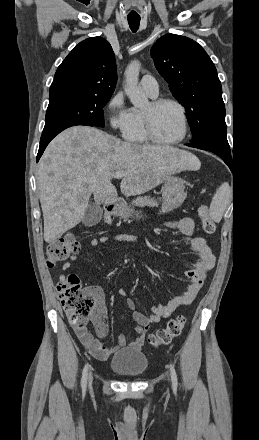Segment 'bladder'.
I'll use <instances>...</instances> for the list:
<instances>
[{
	"mask_svg": "<svg viewBox=\"0 0 259 440\" xmlns=\"http://www.w3.org/2000/svg\"><path fill=\"white\" fill-rule=\"evenodd\" d=\"M148 367L146 355L137 349H119L110 360V369L123 377H139Z\"/></svg>",
	"mask_w": 259,
	"mask_h": 440,
	"instance_id": "31cf9c89",
	"label": "bladder"
}]
</instances>
